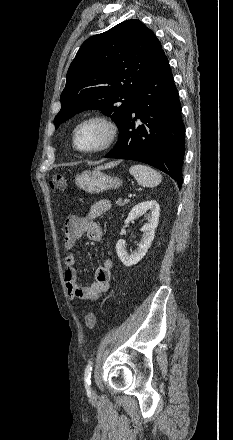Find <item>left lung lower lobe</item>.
<instances>
[{"mask_svg": "<svg viewBox=\"0 0 233 440\" xmlns=\"http://www.w3.org/2000/svg\"><path fill=\"white\" fill-rule=\"evenodd\" d=\"M138 118L142 125H135ZM184 153L185 126L178 91L162 52L133 97L117 144L105 157L149 164L174 178L181 187Z\"/></svg>", "mask_w": 233, "mask_h": 440, "instance_id": "obj_1", "label": "left lung lower lobe"}]
</instances>
